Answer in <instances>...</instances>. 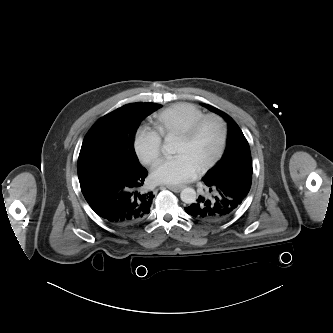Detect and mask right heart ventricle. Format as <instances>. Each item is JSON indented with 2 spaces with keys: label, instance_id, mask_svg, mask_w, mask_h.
<instances>
[{
  "label": "right heart ventricle",
  "instance_id": "1",
  "mask_svg": "<svg viewBox=\"0 0 333 333\" xmlns=\"http://www.w3.org/2000/svg\"><path fill=\"white\" fill-rule=\"evenodd\" d=\"M204 115L193 104H175L156 114L153 125L161 136L179 135Z\"/></svg>",
  "mask_w": 333,
  "mask_h": 333
}]
</instances>
